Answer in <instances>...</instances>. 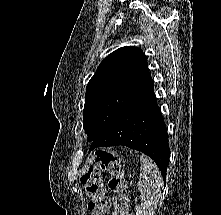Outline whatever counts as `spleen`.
Here are the masks:
<instances>
[{"instance_id":"spleen-1","label":"spleen","mask_w":221,"mask_h":215,"mask_svg":"<svg viewBox=\"0 0 221 215\" xmlns=\"http://www.w3.org/2000/svg\"><path fill=\"white\" fill-rule=\"evenodd\" d=\"M141 171L138 189L140 202L135 206L136 215H155L162 196L163 181L157 165L146 155H140Z\"/></svg>"}]
</instances>
